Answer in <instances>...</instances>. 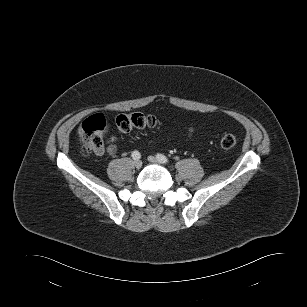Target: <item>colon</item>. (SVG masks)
Instances as JSON below:
<instances>
[{
    "label": "colon",
    "mask_w": 307,
    "mask_h": 307,
    "mask_svg": "<svg viewBox=\"0 0 307 307\" xmlns=\"http://www.w3.org/2000/svg\"><path fill=\"white\" fill-rule=\"evenodd\" d=\"M157 120L153 115L141 112L120 114L115 118V126L120 133H128L133 129L152 128ZM107 123L102 114H94L86 118L78 128V134L83 146L91 151L101 153L106 147L105 129ZM110 142L115 141V136L109 137ZM237 140L232 134H225L220 138V146L230 149Z\"/></svg>",
    "instance_id": "5ec220e1"
}]
</instances>
